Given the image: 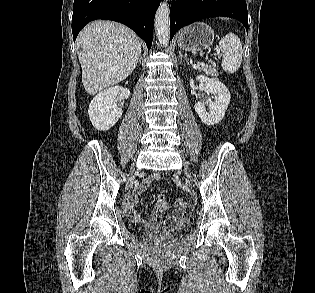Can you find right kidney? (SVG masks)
I'll list each match as a JSON object with an SVG mask.
<instances>
[{
  "label": "right kidney",
  "instance_id": "1",
  "mask_svg": "<svg viewBox=\"0 0 315 293\" xmlns=\"http://www.w3.org/2000/svg\"><path fill=\"white\" fill-rule=\"evenodd\" d=\"M130 90L119 86L110 87L98 93L91 101L88 109L90 121L94 128L106 131L113 127L121 117L122 105L117 100L127 99Z\"/></svg>",
  "mask_w": 315,
  "mask_h": 293
}]
</instances>
